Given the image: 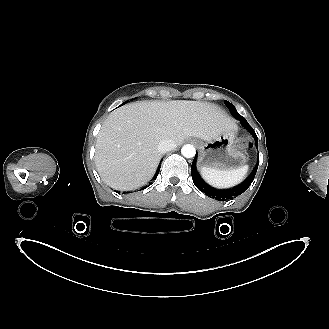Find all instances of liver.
Masks as SVG:
<instances>
[{"instance_id": "6515ba94", "label": "liver", "mask_w": 329, "mask_h": 329, "mask_svg": "<svg viewBox=\"0 0 329 329\" xmlns=\"http://www.w3.org/2000/svg\"><path fill=\"white\" fill-rule=\"evenodd\" d=\"M236 128L235 121L211 103L141 101L114 110L97 136L95 163L101 179L116 190L146 184L161 159L158 144L189 137L205 141Z\"/></svg>"}]
</instances>
